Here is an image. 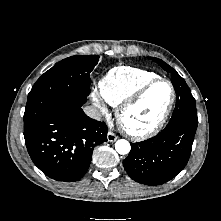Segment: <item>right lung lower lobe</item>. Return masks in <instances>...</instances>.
<instances>
[{"label":"right lung lower lobe","instance_id":"right-lung-lower-lobe-1","mask_svg":"<svg viewBox=\"0 0 221 221\" xmlns=\"http://www.w3.org/2000/svg\"><path fill=\"white\" fill-rule=\"evenodd\" d=\"M104 122L88 117L82 106L51 112L24 131L25 144L34 164L48 177L77 181L87 172L93 149L107 141Z\"/></svg>","mask_w":221,"mask_h":221}]
</instances>
